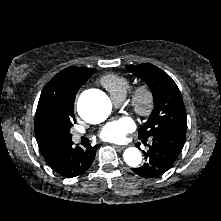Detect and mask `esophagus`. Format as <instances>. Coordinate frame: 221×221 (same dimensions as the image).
<instances>
[{"label": "esophagus", "instance_id": "obj_1", "mask_svg": "<svg viewBox=\"0 0 221 221\" xmlns=\"http://www.w3.org/2000/svg\"><path fill=\"white\" fill-rule=\"evenodd\" d=\"M115 148H118V149H124L125 147L124 146H119V145H114Z\"/></svg>", "mask_w": 221, "mask_h": 221}]
</instances>
